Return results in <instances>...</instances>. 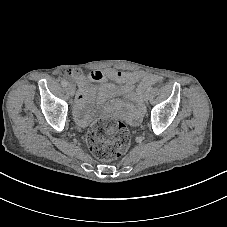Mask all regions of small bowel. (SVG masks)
<instances>
[{"mask_svg": "<svg viewBox=\"0 0 227 227\" xmlns=\"http://www.w3.org/2000/svg\"><path fill=\"white\" fill-rule=\"evenodd\" d=\"M70 76L78 84L75 117L80 124H86L88 120L86 108L88 103L96 94V89L88 86L89 81L101 82L106 79H113L132 86L141 80L142 82L139 86V92H142L149 84L159 81V78L154 75H143L138 72H123L114 69L94 70L88 73L75 70L70 74ZM104 92H108L106 87L104 88Z\"/></svg>", "mask_w": 227, "mask_h": 227, "instance_id": "1", "label": "small bowel"}]
</instances>
